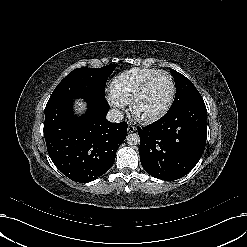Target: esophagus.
<instances>
[{"label": "esophagus", "mask_w": 247, "mask_h": 247, "mask_svg": "<svg viewBox=\"0 0 247 247\" xmlns=\"http://www.w3.org/2000/svg\"><path fill=\"white\" fill-rule=\"evenodd\" d=\"M135 131H136V127L133 126V125H131V124H129V125H128V133H133V132H135Z\"/></svg>", "instance_id": "obj_1"}]
</instances>
